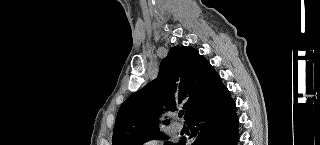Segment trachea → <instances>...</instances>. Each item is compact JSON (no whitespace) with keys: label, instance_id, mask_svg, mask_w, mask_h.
I'll return each mask as SVG.
<instances>
[{"label":"trachea","instance_id":"trachea-1","mask_svg":"<svg viewBox=\"0 0 320 145\" xmlns=\"http://www.w3.org/2000/svg\"><path fill=\"white\" fill-rule=\"evenodd\" d=\"M183 114H184V111H180L178 116L181 118L183 116Z\"/></svg>","mask_w":320,"mask_h":145}]
</instances>
